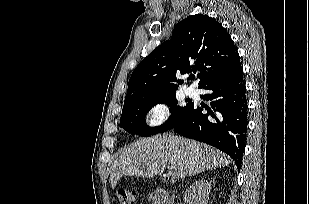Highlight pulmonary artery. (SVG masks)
Instances as JSON below:
<instances>
[{"mask_svg": "<svg viewBox=\"0 0 309 204\" xmlns=\"http://www.w3.org/2000/svg\"><path fill=\"white\" fill-rule=\"evenodd\" d=\"M185 93L189 96H193L196 94V90L193 87H188L186 88Z\"/></svg>", "mask_w": 309, "mask_h": 204, "instance_id": "pulmonary-artery-1", "label": "pulmonary artery"}]
</instances>
